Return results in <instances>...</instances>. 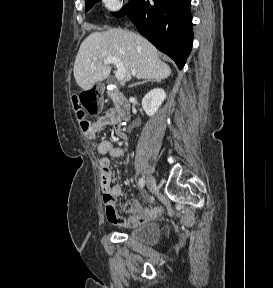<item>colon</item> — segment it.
Segmentation results:
<instances>
[{"mask_svg":"<svg viewBox=\"0 0 273 288\" xmlns=\"http://www.w3.org/2000/svg\"><path fill=\"white\" fill-rule=\"evenodd\" d=\"M73 106L83 130L90 126L88 116L97 115L102 109L101 94L98 89H90L73 97Z\"/></svg>","mask_w":273,"mask_h":288,"instance_id":"obj_1","label":"colon"}]
</instances>
